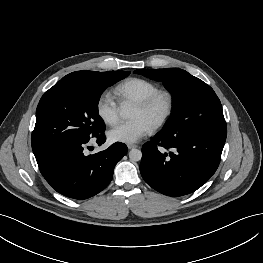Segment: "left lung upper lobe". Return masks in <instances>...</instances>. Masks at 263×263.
Returning <instances> with one entry per match:
<instances>
[{"label":"left lung upper lobe","instance_id":"obj_1","mask_svg":"<svg viewBox=\"0 0 263 263\" xmlns=\"http://www.w3.org/2000/svg\"><path fill=\"white\" fill-rule=\"evenodd\" d=\"M135 73L162 81L173 95L172 116L160 133L186 135L227 129L219 98L202 80L179 68L139 69Z\"/></svg>","mask_w":263,"mask_h":263}]
</instances>
